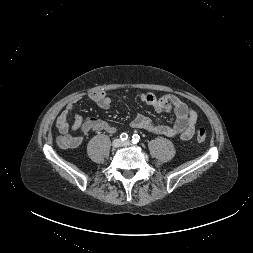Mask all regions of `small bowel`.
<instances>
[{
	"label": "small bowel",
	"instance_id": "obj_1",
	"mask_svg": "<svg viewBox=\"0 0 253 253\" xmlns=\"http://www.w3.org/2000/svg\"><path fill=\"white\" fill-rule=\"evenodd\" d=\"M89 98L102 109H108L111 105V98L104 91L93 92L89 95ZM140 99L147 105L152 106L158 113L174 111L176 120L172 126H167L158 124L149 117L140 114L131 122L130 125L132 128L146 130L155 136L180 138L184 141L189 140L193 136L197 122V114L179 98L172 94L157 97L150 92H145L140 95ZM79 101V97L73 98L57 119L58 131L68 139L67 148L80 146L84 141V136L92 131L103 130L108 133H114L116 131V127L104 120L97 118L84 120L79 113L73 115V122L70 124L69 115L73 112ZM76 130H81L83 135H72L70 133Z\"/></svg>",
	"mask_w": 253,
	"mask_h": 253
}]
</instances>
